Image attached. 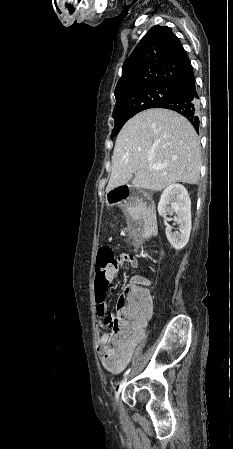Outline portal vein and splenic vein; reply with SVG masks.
<instances>
[{
	"instance_id": "18ae733b",
	"label": "portal vein and splenic vein",
	"mask_w": 233,
	"mask_h": 449,
	"mask_svg": "<svg viewBox=\"0 0 233 449\" xmlns=\"http://www.w3.org/2000/svg\"><path fill=\"white\" fill-rule=\"evenodd\" d=\"M152 168L158 169V168H160V166L153 164V165H152Z\"/></svg>"
}]
</instances>
